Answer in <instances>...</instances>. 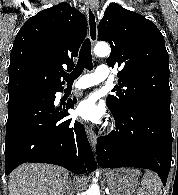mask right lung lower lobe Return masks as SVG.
<instances>
[{"label":"right lung lower lobe","mask_w":178,"mask_h":195,"mask_svg":"<svg viewBox=\"0 0 178 195\" xmlns=\"http://www.w3.org/2000/svg\"><path fill=\"white\" fill-rule=\"evenodd\" d=\"M60 90H48L47 95L22 93L9 97L6 175L25 162L55 164L76 174L95 168L84 126L67 118L73 101L67 103L66 109L54 106L55 93Z\"/></svg>","instance_id":"right-lung-lower-lobe-1"}]
</instances>
